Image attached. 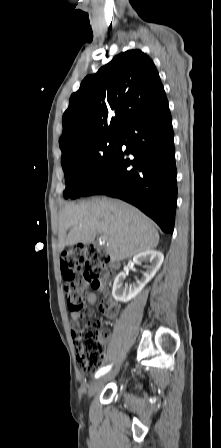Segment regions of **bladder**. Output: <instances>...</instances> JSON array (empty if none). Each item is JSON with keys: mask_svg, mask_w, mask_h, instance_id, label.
<instances>
[{"mask_svg": "<svg viewBox=\"0 0 221 448\" xmlns=\"http://www.w3.org/2000/svg\"><path fill=\"white\" fill-rule=\"evenodd\" d=\"M129 385L127 380H122L119 382V388L124 389Z\"/></svg>", "mask_w": 221, "mask_h": 448, "instance_id": "bladder-1", "label": "bladder"}]
</instances>
